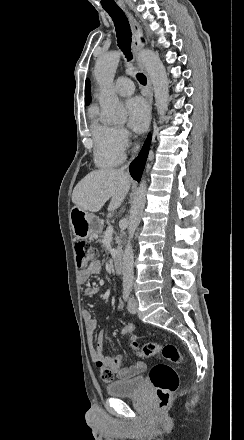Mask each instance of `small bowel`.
I'll return each mask as SVG.
<instances>
[{
	"mask_svg": "<svg viewBox=\"0 0 244 440\" xmlns=\"http://www.w3.org/2000/svg\"><path fill=\"white\" fill-rule=\"evenodd\" d=\"M100 269L101 264L98 260L91 262L88 267L80 271L79 278L81 283H89L91 278L100 272ZM98 292L99 288L96 285H89L84 291L85 295L88 297L95 296ZM83 317L86 324L87 337L90 342V356L97 365L102 364L120 380H129L138 377L147 370V364L143 361H138L133 365L128 366L125 364V357L123 355H118L116 357L104 356L102 352V333L99 334L96 344H92V338L97 329L96 319H94L89 312H84Z\"/></svg>",
	"mask_w": 244,
	"mask_h": 440,
	"instance_id": "obj_1",
	"label": "small bowel"
}]
</instances>
